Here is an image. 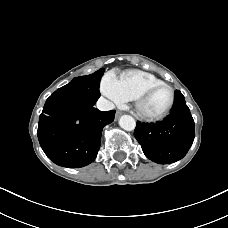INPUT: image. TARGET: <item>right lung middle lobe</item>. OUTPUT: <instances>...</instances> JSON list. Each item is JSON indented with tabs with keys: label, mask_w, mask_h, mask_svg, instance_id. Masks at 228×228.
I'll return each instance as SVG.
<instances>
[{
	"label": "right lung middle lobe",
	"mask_w": 228,
	"mask_h": 228,
	"mask_svg": "<svg viewBox=\"0 0 228 228\" xmlns=\"http://www.w3.org/2000/svg\"><path fill=\"white\" fill-rule=\"evenodd\" d=\"M104 71L100 69L91 75L76 77L50 97L64 98L82 106H93L100 97L99 84Z\"/></svg>",
	"instance_id": "right-lung-middle-lobe-1"
}]
</instances>
